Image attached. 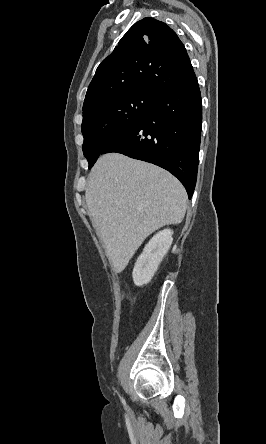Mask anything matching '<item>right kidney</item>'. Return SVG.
I'll return each mask as SVG.
<instances>
[{"mask_svg":"<svg viewBox=\"0 0 266 444\" xmlns=\"http://www.w3.org/2000/svg\"><path fill=\"white\" fill-rule=\"evenodd\" d=\"M173 231L165 229L158 232L145 246L133 269V281L136 286H142L151 281L159 264L168 252L173 238Z\"/></svg>","mask_w":266,"mask_h":444,"instance_id":"ca27d5eb","label":"right kidney"}]
</instances>
